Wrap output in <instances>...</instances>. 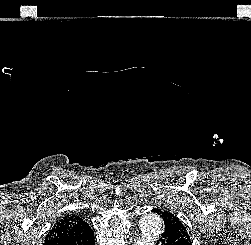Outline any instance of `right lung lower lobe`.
Wrapping results in <instances>:
<instances>
[{
	"instance_id": "right-lung-lower-lobe-1",
	"label": "right lung lower lobe",
	"mask_w": 251,
	"mask_h": 245,
	"mask_svg": "<svg viewBox=\"0 0 251 245\" xmlns=\"http://www.w3.org/2000/svg\"><path fill=\"white\" fill-rule=\"evenodd\" d=\"M44 245H95L94 234L90 228L79 235L45 240Z\"/></svg>"
}]
</instances>
